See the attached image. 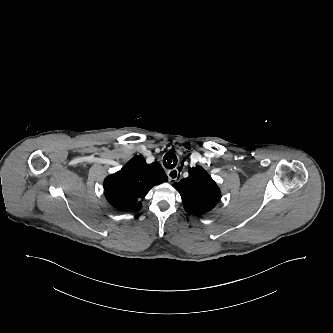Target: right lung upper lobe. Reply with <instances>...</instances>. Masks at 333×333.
Listing matches in <instances>:
<instances>
[{
	"label": "right lung upper lobe",
	"mask_w": 333,
	"mask_h": 333,
	"mask_svg": "<svg viewBox=\"0 0 333 333\" xmlns=\"http://www.w3.org/2000/svg\"><path fill=\"white\" fill-rule=\"evenodd\" d=\"M167 181L158 162L147 164L143 157L135 156L124 167L104 181L107 201L120 211H138L149 190Z\"/></svg>",
	"instance_id": "cb5924a9"
}]
</instances>
